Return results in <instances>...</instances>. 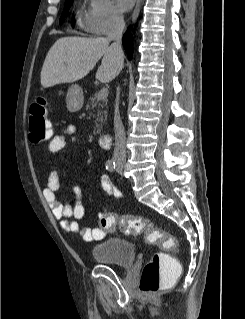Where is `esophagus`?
Masks as SVG:
<instances>
[{
    "label": "esophagus",
    "mask_w": 245,
    "mask_h": 319,
    "mask_svg": "<svg viewBox=\"0 0 245 319\" xmlns=\"http://www.w3.org/2000/svg\"><path fill=\"white\" fill-rule=\"evenodd\" d=\"M141 2H142V0H137V2H136L134 11L132 13V18H131L133 23L136 22V20L138 18V15L140 12V7H141Z\"/></svg>",
    "instance_id": "obj_1"
}]
</instances>
